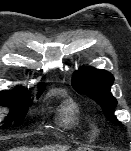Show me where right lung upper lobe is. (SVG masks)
I'll list each match as a JSON object with an SVG mask.
<instances>
[{"mask_svg":"<svg viewBox=\"0 0 131 151\" xmlns=\"http://www.w3.org/2000/svg\"><path fill=\"white\" fill-rule=\"evenodd\" d=\"M39 88H40V90H41V89H44V88H45V84H44V83L40 84V85H39ZM16 90H26V89H24V88H22V87H17Z\"/></svg>","mask_w":131,"mask_h":151,"instance_id":"obj_1","label":"right lung upper lobe"}]
</instances>
